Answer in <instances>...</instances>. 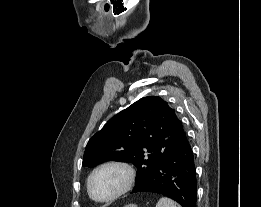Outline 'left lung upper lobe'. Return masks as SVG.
I'll use <instances>...</instances> for the list:
<instances>
[{
    "mask_svg": "<svg viewBox=\"0 0 261 207\" xmlns=\"http://www.w3.org/2000/svg\"><path fill=\"white\" fill-rule=\"evenodd\" d=\"M182 122L168 103L157 96L139 99L111 118L87 143L83 166L109 160L133 163L137 184L179 145Z\"/></svg>",
    "mask_w": 261,
    "mask_h": 207,
    "instance_id": "5c2ea615",
    "label": "left lung upper lobe"
}]
</instances>
